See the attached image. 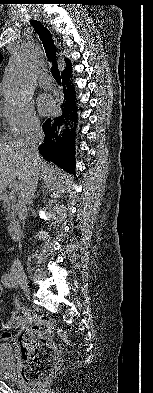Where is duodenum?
I'll use <instances>...</instances> for the list:
<instances>
[{"mask_svg":"<svg viewBox=\"0 0 153 393\" xmlns=\"http://www.w3.org/2000/svg\"><path fill=\"white\" fill-rule=\"evenodd\" d=\"M9 236L13 239L18 238L21 233V225L20 223L13 219L11 220L9 227H8Z\"/></svg>","mask_w":153,"mask_h":393,"instance_id":"1","label":"duodenum"}]
</instances>
